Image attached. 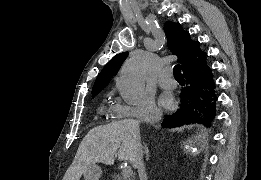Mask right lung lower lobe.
Wrapping results in <instances>:
<instances>
[{
	"mask_svg": "<svg viewBox=\"0 0 261 180\" xmlns=\"http://www.w3.org/2000/svg\"><path fill=\"white\" fill-rule=\"evenodd\" d=\"M186 86L180 95V108L164 119L162 126L173 128L201 120L209 124L216 115L215 83L206 61L183 71ZM203 114V118L201 115Z\"/></svg>",
	"mask_w": 261,
	"mask_h": 180,
	"instance_id": "98d812e1",
	"label": "right lung lower lobe"
}]
</instances>
